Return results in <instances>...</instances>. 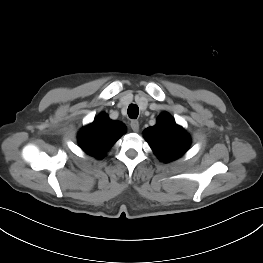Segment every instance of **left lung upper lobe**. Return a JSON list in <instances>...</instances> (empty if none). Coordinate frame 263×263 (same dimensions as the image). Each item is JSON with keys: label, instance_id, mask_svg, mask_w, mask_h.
Segmentation results:
<instances>
[{"label": "left lung upper lobe", "instance_id": "1", "mask_svg": "<svg viewBox=\"0 0 263 263\" xmlns=\"http://www.w3.org/2000/svg\"><path fill=\"white\" fill-rule=\"evenodd\" d=\"M144 137L158 158L167 163L182 156L190 146V136L169 113L161 114L155 126L144 130Z\"/></svg>", "mask_w": 263, "mask_h": 263}]
</instances>
